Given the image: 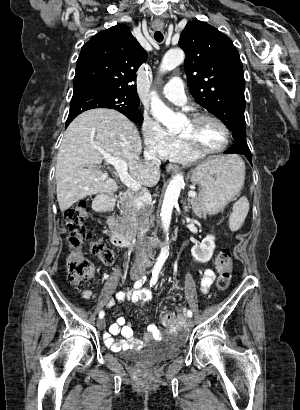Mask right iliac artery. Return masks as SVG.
Segmentation results:
<instances>
[{
    "instance_id": "1",
    "label": "right iliac artery",
    "mask_w": 300,
    "mask_h": 410,
    "mask_svg": "<svg viewBox=\"0 0 300 410\" xmlns=\"http://www.w3.org/2000/svg\"><path fill=\"white\" fill-rule=\"evenodd\" d=\"M146 279H147V277H146V276H143L141 279H139L138 281H136L135 284H134V288H135V289H139V288L144 284V282L146 281ZM118 294H119V293H118ZM118 294H117V296H118ZM104 315H105L104 311H101V312L99 313V318L102 319V318L104 317Z\"/></svg>"
}]
</instances>
